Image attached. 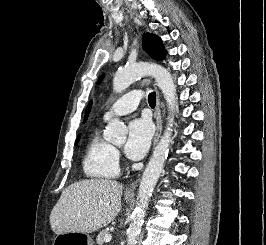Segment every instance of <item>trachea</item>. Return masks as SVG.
Instances as JSON below:
<instances>
[{
  "label": "trachea",
  "instance_id": "3493384b",
  "mask_svg": "<svg viewBox=\"0 0 266 245\" xmlns=\"http://www.w3.org/2000/svg\"><path fill=\"white\" fill-rule=\"evenodd\" d=\"M148 102H149L150 105L155 106V104H156V94H155V92H152V93H150L148 95Z\"/></svg>",
  "mask_w": 266,
  "mask_h": 245
}]
</instances>
